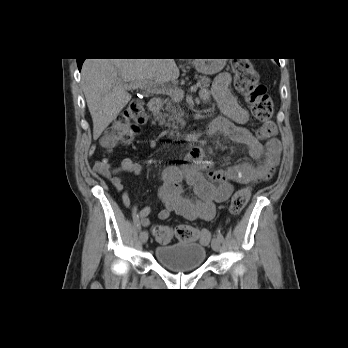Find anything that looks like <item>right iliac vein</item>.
Listing matches in <instances>:
<instances>
[{"mask_svg":"<svg viewBox=\"0 0 348 348\" xmlns=\"http://www.w3.org/2000/svg\"><path fill=\"white\" fill-rule=\"evenodd\" d=\"M140 241L145 244L148 240V232L146 230L141 231L140 233Z\"/></svg>","mask_w":348,"mask_h":348,"instance_id":"obj_1","label":"right iliac vein"}]
</instances>
